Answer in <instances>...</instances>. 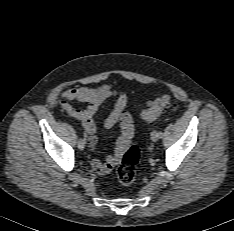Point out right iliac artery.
Instances as JSON below:
<instances>
[{"label": "right iliac artery", "mask_w": 234, "mask_h": 231, "mask_svg": "<svg viewBox=\"0 0 234 231\" xmlns=\"http://www.w3.org/2000/svg\"><path fill=\"white\" fill-rule=\"evenodd\" d=\"M86 137H87L86 134H84V135H83V139H81V138H80V139L83 140V141H85V140H86Z\"/></svg>", "instance_id": "right-iliac-artery-1"}]
</instances>
